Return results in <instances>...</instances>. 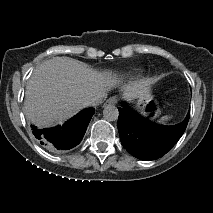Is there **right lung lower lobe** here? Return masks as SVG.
Listing matches in <instances>:
<instances>
[{"mask_svg":"<svg viewBox=\"0 0 213 213\" xmlns=\"http://www.w3.org/2000/svg\"><path fill=\"white\" fill-rule=\"evenodd\" d=\"M94 112V108L85 109L63 126L50 129H37L32 125L33 134L41 140L42 144L58 150L71 149L82 140Z\"/></svg>","mask_w":213,"mask_h":213,"instance_id":"right-lung-lower-lobe-1","label":"right lung lower lobe"}]
</instances>
